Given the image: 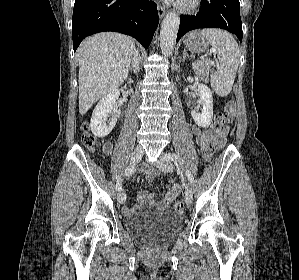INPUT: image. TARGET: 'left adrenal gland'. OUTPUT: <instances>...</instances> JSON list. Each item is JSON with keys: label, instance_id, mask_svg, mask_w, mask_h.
<instances>
[{"label": "left adrenal gland", "instance_id": "a2214340", "mask_svg": "<svg viewBox=\"0 0 299 280\" xmlns=\"http://www.w3.org/2000/svg\"><path fill=\"white\" fill-rule=\"evenodd\" d=\"M186 58H189V57H188V54H187L186 49H184V50H183L182 62H185Z\"/></svg>", "mask_w": 299, "mask_h": 280}]
</instances>
